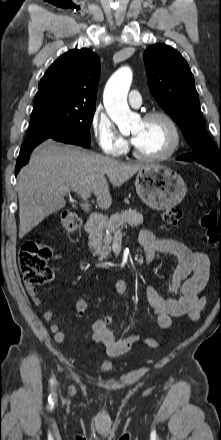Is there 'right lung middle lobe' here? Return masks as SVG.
Masks as SVG:
<instances>
[{
	"label": "right lung middle lobe",
	"instance_id": "right-lung-middle-lobe-1",
	"mask_svg": "<svg viewBox=\"0 0 221 440\" xmlns=\"http://www.w3.org/2000/svg\"><path fill=\"white\" fill-rule=\"evenodd\" d=\"M95 105H77L59 101L34 104L27 139L38 137L67 138L83 147L91 145L90 126Z\"/></svg>",
	"mask_w": 221,
	"mask_h": 440
}]
</instances>
